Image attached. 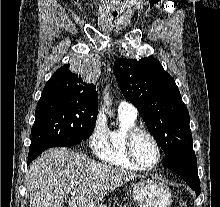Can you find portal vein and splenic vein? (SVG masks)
I'll return each instance as SVG.
<instances>
[{"mask_svg": "<svg viewBox=\"0 0 220 207\" xmlns=\"http://www.w3.org/2000/svg\"><path fill=\"white\" fill-rule=\"evenodd\" d=\"M70 186H71V187H73V186H74V184L72 183Z\"/></svg>", "mask_w": 220, "mask_h": 207, "instance_id": "obj_1", "label": "portal vein and splenic vein"}]
</instances>
